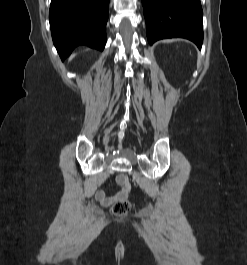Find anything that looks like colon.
I'll list each match as a JSON object with an SVG mask.
<instances>
[{
    "label": "colon",
    "mask_w": 247,
    "mask_h": 265,
    "mask_svg": "<svg viewBox=\"0 0 247 265\" xmlns=\"http://www.w3.org/2000/svg\"><path fill=\"white\" fill-rule=\"evenodd\" d=\"M119 182L122 185V189L129 192L131 189L130 182L125 177H120ZM131 204L126 198L118 199L112 205V212L115 216L123 217L130 210Z\"/></svg>",
    "instance_id": "5ec220e1"
}]
</instances>
